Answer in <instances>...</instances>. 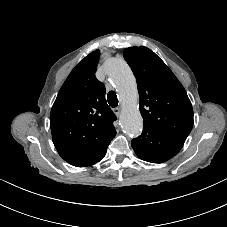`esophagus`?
Returning <instances> with one entry per match:
<instances>
[{
	"label": "esophagus",
	"mask_w": 227,
	"mask_h": 227,
	"mask_svg": "<svg viewBox=\"0 0 227 227\" xmlns=\"http://www.w3.org/2000/svg\"><path fill=\"white\" fill-rule=\"evenodd\" d=\"M114 113H115V115H116L117 117L120 116V114H121V108H120V107L115 108V109H114Z\"/></svg>",
	"instance_id": "1"
}]
</instances>
